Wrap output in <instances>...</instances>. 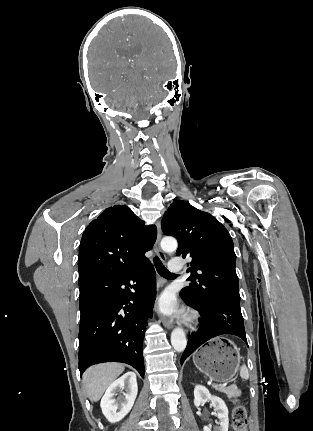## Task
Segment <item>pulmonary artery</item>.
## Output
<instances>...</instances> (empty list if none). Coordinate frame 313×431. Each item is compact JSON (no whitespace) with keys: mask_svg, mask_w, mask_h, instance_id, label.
I'll return each instance as SVG.
<instances>
[{"mask_svg":"<svg viewBox=\"0 0 313 431\" xmlns=\"http://www.w3.org/2000/svg\"><path fill=\"white\" fill-rule=\"evenodd\" d=\"M182 269V263L181 260L179 258H173L170 262H169V270L173 273H178L180 272Z\"/></svg>","mask_w":313,"mask_h":431,"instance_id":"1","label":"pulmonary artery"}]
</instances>
